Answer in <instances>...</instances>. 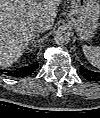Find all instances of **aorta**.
<instances>
[{
    "mask_svg": "<svg viewBox=\"0 0 100 118\" xmlns=\"http://www.w3.org/2000/svg\"><path fill=\"white\" fill-rule=\"evenodd\" d=\"M54 40L58 45H66L71 40V33L66 28H59L55 31Z\"/></svg>",
    "mask_w": 100,
    "mask_h": 118,
    "instance_id": "obj_1",
    "label": "aorta"
}]
</instances>
